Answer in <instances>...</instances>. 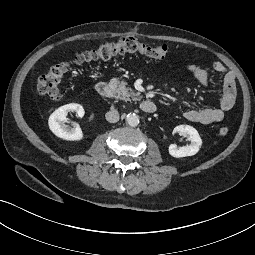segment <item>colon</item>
<instances>
[{"instance_id":"1","label":"colon","mask_w":255,"mask_h":255,"mask_svg":"<svg viewBox=\"0 0 255 255\" xmlns=\"http://www.w3.org/2000/svg\"><path fill=\"white\" fill-rule=\"evenodd\" d=\"M168 47L165 44L149 45L132 37L123 38L117 42H106L98 47L79 53L73 62L82 64L96 60H107L116 55L125 53H139L151 59L162 60L168 55ZM70 68V63L62 62L50 67L42 74L37 82V91L40 95L52 100L61 98V83ZM229 129L226 126L219 128L218 133L225 136Z\"/></svg>"}]
</instances>
